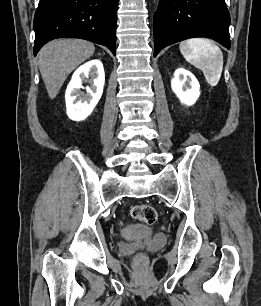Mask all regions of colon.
Here are the masks:
<instances>
[{
    "label": "colon",
    "instance_id": "1",
    "mask_svg": "<svg viewBox=\"0 0 261 306\" xmlns=\"http://www.w3.org/2000/svg\"><path fill=\"white\" fill-rule=\"evenodd\" d=\"M131 216L145 224L152 225L157 221V211L148 204H137L130 209ZM146 257L143 253H138L134 261L142 267L145 264Z\"/></svg>",
    "mask_w": 261,
    "mask_h": 306
}]
</instances>
